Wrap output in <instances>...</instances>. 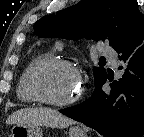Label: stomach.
Segmentation results:
<instances>
[{"mask_svg": "<svg viewBox=\"0 0 144 137\" xmlns=\"http://www.w3.org/2000/svg\"><path fill=\"white\" fill-rule=\"evenodd\" d=\"M10 137H42V130L35 125L17 124L11 129ZM69 137H86V135L80 127L72 126L69 129Z\"/></svg>", "mask_w": 144, "mask_h": 137, "instance_id": "1", "label": "stomach"}]
</instances>
